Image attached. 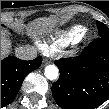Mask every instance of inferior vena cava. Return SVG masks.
<instances>
[{
    "instance_id": "obj_1",
    "label": "inferior vena cava",
    "mask_w": 109,
    "mask_h": 109,
    "mask_svg": "<svg viewBox=\"0 0 109 109\" xmlns=\"http://www.w3.org/2000/svg\"><path fill=\"white\" fill-rule=\"evenodd\" d=\"M16 57L22 60H33L37 57V51L33 46L25 45L15 51Z\"/></svg>"
}]
</instances>
